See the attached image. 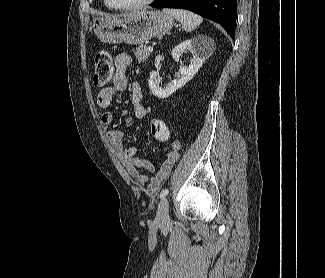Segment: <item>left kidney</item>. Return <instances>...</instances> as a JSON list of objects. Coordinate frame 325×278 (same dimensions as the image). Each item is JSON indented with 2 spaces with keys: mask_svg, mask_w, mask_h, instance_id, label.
Instances as JSON below:
<instances>
[{
  "mask_svg": "<svg viewBox=\"0 0 325 278\" xmlns=\"http://www.w3.org/2000/svg\"><path fill=\"white\" fill-rule=\"evenodd\" d=\"M184 51H189L193 55L189 66L181 67L179 69L178 77L170 81L165 87L162 88L160 86L161 79L157 72L152 71L150 73L148 85L154 96L160 99L169 97L176 92L177 89L183 87L187 82H189L203 65L207 52L203 47L201 38L195 37L181 42L171 52L173 59L179 61L180 56Z\"/></svg>",
  "mask_w": 325,
  "mask_h": 278,
  "instance_id": "1",
  "label": "left kidney"
}]
</instances>
